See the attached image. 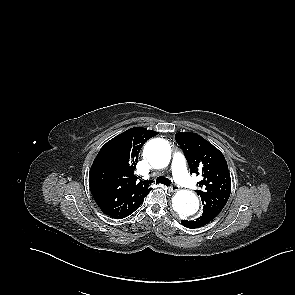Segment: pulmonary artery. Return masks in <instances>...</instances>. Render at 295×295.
I'll list each match as a JSON object with an SVG mask.
<instances>
[{
  "mask_svg": "<svg viewBox=\"0 0 295 295\" xmlns=\"http://www.w3.org/2000/svg\"><path fill=\"white\" fill-rule=\"evenodd\" d=\"M172 172L175 180L183 187L195 189L196 183L189 176L184 156L177 152L172 160Z\"/></svg>",
  "mask_w": 295,
  "mask_h": 295,
  "instance_id": "e3ab8cb5",
  "label": "pulmonary artery"
}]
</instances>
